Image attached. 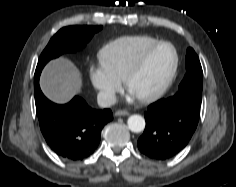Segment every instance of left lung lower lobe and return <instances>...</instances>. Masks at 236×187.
<instances>
[{
    "label": "left lung lower lobe",
    "mask_w": 236,
    "mask_h": 187,
    "mask_svg": "<svg viewBox=\"0 0 236 187\" xmlns=\"http://www.w3.org/2000/svg\"><path fill=\"white\" fill-rule=\"evenodd\" d=\"M200 115V105L179 99H161L145 112L146 127L138 148L146 156L169 159L182 150L192 137Z\"/></svg>",
    "instance_id": "obj_1"
}]
</instances>
